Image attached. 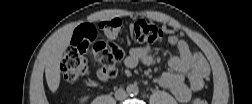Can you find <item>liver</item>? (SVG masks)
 I'll list each match as a JSON object with an SVG mask.
<instances>
[{
    "label": "liver",
    "mask_w": 252,
    "mask_h": 104,
    "mask_svg": "<svg viewBox=\"0 0 252 104\" xmlns=\"http://www.w3.org/2000/svg\"><path fill=\"white\" fill-rule=\"evenodd\" d=\"M73 28L62 30L51 42L45 61V77L52 92H56L60 84V63L63 53L69 45Z\"/></svg>",
    "instance_id": "liver-1"
}]
</instances>
